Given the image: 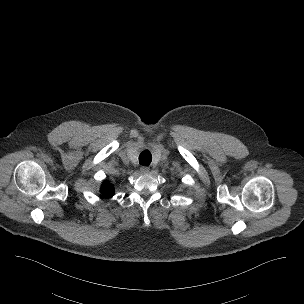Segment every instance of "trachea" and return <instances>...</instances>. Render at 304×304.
Segmentation results:
<instances>
[{
    "mask_svg": "<svg viewBox=\"0 0 304 304\" xmlns=\"http://www.w3.org/2000/svg\"><path fill=\"white\" fill-rule=\"evenodd\" d=\"M151 161H152V155L150 151L147 149L142 150L139 155V163L141 165L148 166L150 165Z\"/></svg>",
    "mask_w": 304,
    "mask_h": 304,
    "instance_id": "3493384b",
    "label": "trachea"
}]
</instances>
